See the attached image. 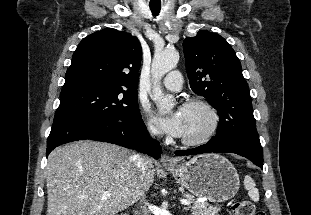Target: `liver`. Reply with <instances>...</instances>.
<instances>
[{
  "mask_svg": "<svg viewBox=\"0 0 311 215\" xmlns=\"http://www.w3.org/2000/svg\"><path fill=\"white\" fill-rule=\"evenodd\" d=\"M133 154L118 146L77 141L53 150L46 166L47 215H115L140 200L154 181V165L144 172ZM109 192L107 200L101 195Z\"/></svg>",
  "mask_w": 311,
  "mask_h": 215,
  "instance_id": "6515ba94",
  "label": "liver"
}]
</instances>
